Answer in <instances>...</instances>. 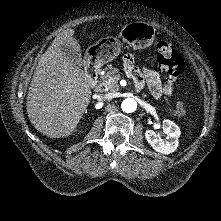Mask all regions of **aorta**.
Masks as SVG:
<instances>
[{
    "mask_svg": "<svg viewBox=\"0 0 221 221\" xmlns=\"http://www.w3.org/2000/svg\"><path fill=\"white\" fill-rule=\"evenodd\" d=\"M121 108L125 113H133L137 109V102L133 98L124 99Z\"/></svg>",
    "mask_w": 221,
    "mask_h": 221,
    "instance_id": "obj_1",
    "label": "aorta"
}]
</instances>
